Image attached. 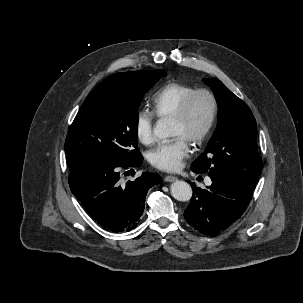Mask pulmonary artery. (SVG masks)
I'll return each mask as SVG.
<instances>
[{"label": "pulmonary artery", "instance_id": "obj_1", "mask_svg": "<svg viewBox=\"0 0 303 303\" xmlns=\"http://www.w3.org/2000/svg\"><path fill=\"white\" fill-rule=\"evenodd\" d=\"M206 184H207V185H210V184H211V180H210L209 178L206 180Z\"/></svg>", "mask_w": 303, "mask_h": 303}]
</instances>
